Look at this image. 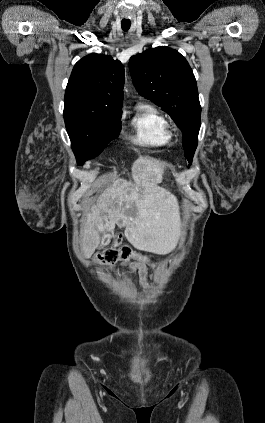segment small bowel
Here are the masks:
<instances>
[{"instance_id": "obj_1", "label": "small bowel", "mask_w": 265, "mask_h": 423, "mask_svg": "<svg viewBox=\"0 0 265 423\" xmlns=\"http://www.w3.org/2000/svg\"><path fill=\"white\" fill-rule=\"evenodd\" d=\"M123 266H128L131 270L133 277H132V283H135L137 281L136 273H139V281L142 286L147 287L146 284V271L144 264L136 263V262H129V263H123Z\"/></svg>"}]
</instances>
